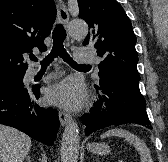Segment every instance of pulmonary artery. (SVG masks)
I'll return each instance as SVG.
<instances>
[{
  "label": "pulmonary artery",
  "instance_id": "e3ab8cb5",
  "mask_svg": "<svg viewBox=\"0 0 168 162\" xmlns=\"http://www.w3.org/2000/svg\"><path fill=\"white\" fill-rule=\"evenodd\" d=\"M75 56H76L77 61L79 62H87V63L97 62L90 53H87L86 50L82 48H78L75 50ZM37 72H38V69L32 68L28 71L27 75L28 77L31 78L34 75H36Z\"/></svg>",
  "mask_w": 168,
  "mask_h": 162
}]
</instances>
